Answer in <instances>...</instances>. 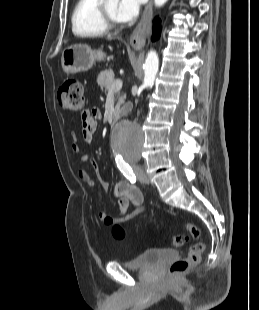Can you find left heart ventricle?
<instances>
[{"label":"left heart ventricle","mask_w":259,"mask_h":310,"mask_svg":"<svg viewBox=\"0 0 259 310\" xmlns=\"http://www.w3.org/2000/svg\"><path fill=\"white\" fill-rule=\"evenodd\" d=\"M118 2L115 0H107L104 3V7L108 13V15L115 21H117L116 18V10H117Z\"/></svg>","instance_id":"left-heart-ventricle-1"}]
</instances>
